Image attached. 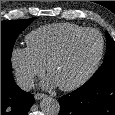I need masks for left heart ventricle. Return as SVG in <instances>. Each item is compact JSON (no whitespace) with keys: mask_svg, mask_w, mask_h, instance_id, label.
I'll use <instances>...</instances> for the list:
<instances>
[{"mask_svg":"<svg viewBox=\"0 0 115 115\" xmlns=\"http://www.w3.org/2000/svg\"><path fill=\"white\" fill-rule=\"evenodd\" d=\"M100 50V39L87 33L77 39L65 57L53 68L50 77L57 84H69L83 76L95 62Z\"/></svg>","mask_w":115,"mask_h":115,"instance_id":"obj_1","label":"left heart ventricle"}]
</instances>
